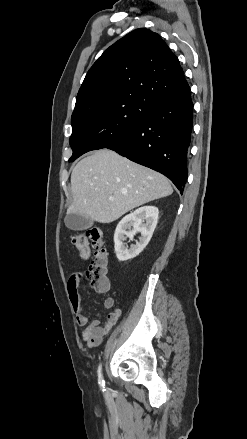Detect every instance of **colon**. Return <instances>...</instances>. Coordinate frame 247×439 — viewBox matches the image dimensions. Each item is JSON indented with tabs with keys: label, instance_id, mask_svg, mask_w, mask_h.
<instances>
[{
	"label": "colon",
	"instance_id": "colon-1",
	"mask_svg": "<svg viewBox=\"0 0 247 439\" xmlns=\"http://www.w3.org/2000/svg\"><path fill=\"white\" fill-rule=\"evenodd\" d=\"M72 242L78 249L79 255L83 260L90 258V246H92L94 252L85 275L90 280V285L95 291L99 293L108 291L110 288L108 258L101 230L96 227L89 228L75 235Z\"/></svg>",
	"mask_w": 247,
	"mask_h": 439
}]
</instances>
